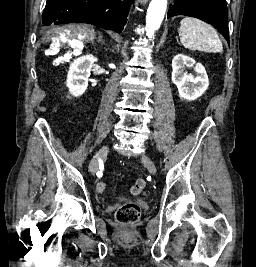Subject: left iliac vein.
I'll return each mask as SVG.
<instances>
[{"instance_id": "left-iliac-vein-1", "label": "left iliac vein", "mask_w": 256, "mask_h": 267, "mask_svg": "<svg viewBox=\"0 0 256 267\" xmlns=\"http://www.w3.org/2000/svg\"><path fill=\"white\" fill-rule=\"evenodd\" d=\"M141 162L148 167V169L150 170V172L152 174H156L157 172V168L153 162V160H151L149 157H147L146 155H142L141 156Z\"/></svg>"}]
</instances>
